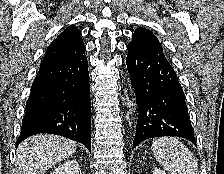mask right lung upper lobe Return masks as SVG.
Masks as SVG:
<instances>
[{
  "label": "right lung upper lobe",
  "mask_w": 224,
  "mask_h": 174,
  "mask_svg": "<svg viewBox=\"0 0 224 174\" xmlns=\"http://www.w3.org/2000/svg\"><path fill=\"white\" fill-rule=\"evenodd\" d=\"M84 53L85 47L79 29L69 26L49 45L41 66L77 57Z\"/></svg>",
  "instance_id": "obj_1"
}]
</instances>
